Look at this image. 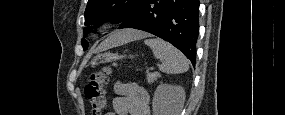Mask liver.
I'll list each match as a JSON object with an SVG mask.
<instances>
[{"label": "liver", "instance_id": "liver-1", "mask_svg": "<svg viewBox=\"0 0 285 115\" xmlns=\"http://www.w3.org/2000/svg\"><path fill=\"white\" fill-rule=\"evenodd\" d=\"M148 34L137 30H120L107 37L97 48L96 52H102L113 47H118L134 40L147 37Z\"/></svg>", "mask_w": 285, "mask_h": 115}]
</instances>
